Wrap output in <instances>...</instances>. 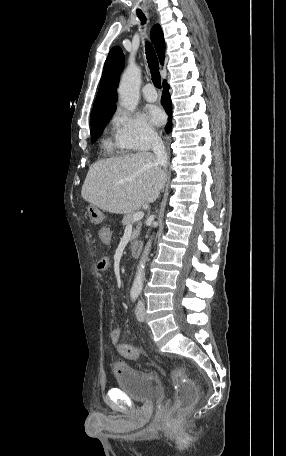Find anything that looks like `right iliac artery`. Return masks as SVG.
Segmentation results:
<instances>
[{
	"label": "right iliac artery",
	"mask_w": 286,
	"mask_h": 456,
	"mask_svg": "<svg viewBox=\"0 0 286 456\" xmlns=\"http://www.w3.org/2000/svg\"><path fill=\"white\" fill-rule=\"evenodd\" d=\"M139 293L140 292L138 290H131L130 296H131L132 301H135L138 298Z\"/></svg>",
	"instance_id": "82829eb1"
}]
</instances>
